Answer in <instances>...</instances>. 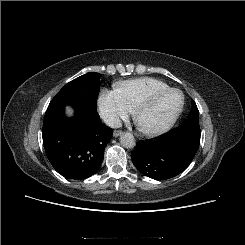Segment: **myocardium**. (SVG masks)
Masks as SVG:
<instances>
[{"label": "myocardium", "instance_id": "1", "mask_svg": "<svg viewBox=\"0 0 245 245\" xmlns=\"http://www.w3.org/2000/svg\"><path fill=\"white\" fill-rule=\"evenodd\" d=\"M174 92H177L181 95V104L172 116H170L167 120H165L164 122H162L161 124H159L155 127L146 128V127H142L139 125L138 116H139V113L142 109L148 107L149 105H151L154 101L158 100L159 98L166 96L170 93H174ZM184 105H185V97H184V94L182 93V91H180L179 89L168 88L165 90L157 91V92H154L152 94L145 96L144 98L139 100L133 106V108H132L133 119H134V122L136 123L138 129L143 134L148 135V136L160 135V134L166 132L167 130H169L174 125V123L177 121V119L181 115L183 108H184Z\"/></svg>", "mask_w": 245, "mask_h": 245}]
</instances>
